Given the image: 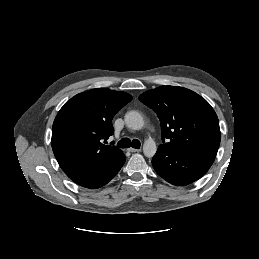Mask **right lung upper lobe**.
Masks as SVG:
<instances>
[{
  "instance_id": "1",
  "label": "right lung upper lobe",
  "mask_w": 259,
  "mask_h": 259,
  "mask_svg": "<svg viewBox=\"0 0 259 259\" xmlns=\"http://www.w3.org/2000/svg\"><path fill=\"white\" fill-rule=\"evenodd\" d=\"M132 96L96 88L77 94L58 112L52 128V149L67 174L93 169L122 151L105 145L113 134L112 119Z\"/></svg>"
}]
</instances>
